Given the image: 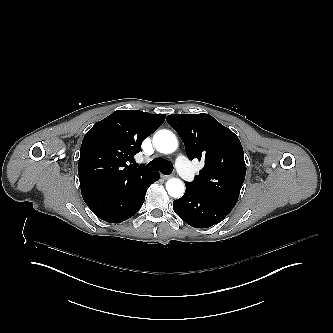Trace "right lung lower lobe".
<instances>
[{"label": "right lung lower lobe", "instance_id": "1", "mask_svg": "<svg viewBox=\"0 0 333 333\" xmlns=\"http://www.w3.org/2000/svg\"><path fill=\"white\" fill-rule=\"evenodd\" d=\"M158 179L159 173L146 170L124 182L81 188V194L98 218L120 223L138 212L144 203L146 190Z\"/></svg>", "mask_w": 333, "mask_h": 333}]
</instances>
